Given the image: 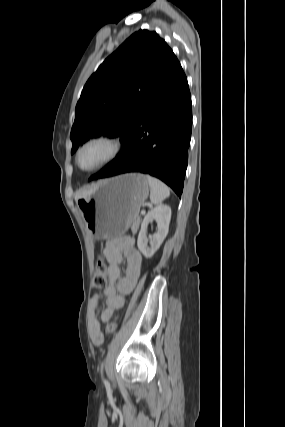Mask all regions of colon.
Returning <instances> with one entry per match:
<instances>
[{
    "label": "colon",
    "mask_w": 285,
    "mask_h": 427,
    "mask_svg": "<svg viewBox=\"0 0 285 427\" xmlns=\"http://www.w3.org/2000/svg\"><path fill=\"white\" fill-rule=\"evenodd\" d=\"M106 279H107V266L104 260L100 258L97 263L93 280H92L93 288L100 289L104 287V285L106 284ZM115 328H116V320H112L108 322V324L106 325V332L112 333L114 332Z\"/></svg>",
    "instance_id": "5ec220e1"
}]
</instances>
